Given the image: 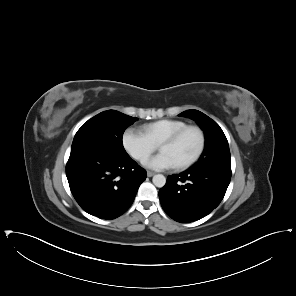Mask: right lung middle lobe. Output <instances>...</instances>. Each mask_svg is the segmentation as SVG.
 <instances>
[{
    "label": "right lung middle lobe",
    "instance_id": "obj_1",
    "mask_svg": "<svg viewBox=\"0 0 296 296\" xmlns=\"http://www.w3.org/2000/svg\"><path fill=\"white\" fill-rule=\"evenodd\" d=\"M137 119L115 110L101 112L77 131L71 152L97 150L115 157H125L128 154L123 147L122 136Z\"/></svg>",
    "mask_w": 296,
    "mask_h": 296
}]
</instances>
